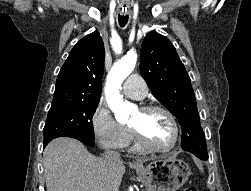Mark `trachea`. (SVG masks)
I'll return each mask as SVG.
<instances>
[{
	"instance_id": "obj_1",
	"label": "trachea",
	"mask_w": 251,
	"mask_h": 191,
	"mask_svg": "<svg viewBox=\"0 0 251 191\" xmlns=\"http://www.w3.org/2000/svg\"><path fill=\"white\" fill-rule=\"evenodd\" d=\"M128 15H119L118 22L121 27H124L128 22Z\"/></svg>"
}]
</instances>
